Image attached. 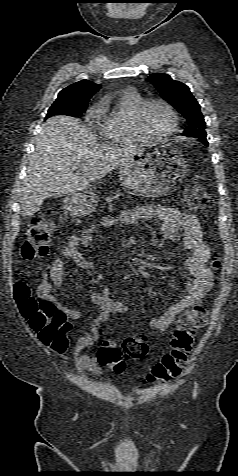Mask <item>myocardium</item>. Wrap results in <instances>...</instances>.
Wrapping results in <instances>:
<instances>
[{
  "label": "myocardium",
  "mask_w": 238,
  "mask_h": 476,
  "mask_svg": "<svg viewBox=\"0 0 238 476\" xmlns=\"http://www.w3.org/2000/svg\"><path fill=\"white\" fill-rule=\"evenodd\" d=\"M152 104H160L166 108L170 117H171V126L169 130L160 137L151 136L145 129L143 125V116L146 109ZM179 118L174 107L166 100L161 98H149L144 100L136 109L133 118V126L136 134L142 141L149 143H160L168 140L178 129Z\"/></svg>",
  "instance_id": "f54148a6"
}]
</instances>
